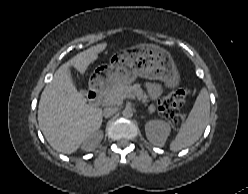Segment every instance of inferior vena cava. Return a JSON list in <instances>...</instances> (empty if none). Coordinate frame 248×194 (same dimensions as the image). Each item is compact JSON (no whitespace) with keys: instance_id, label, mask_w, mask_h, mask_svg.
Instances as JSON below:
<instances>
[{"instance_id":"602c4592","label":"inferior vena cava","mask_w":248,"mask_h":194,"mask_svg":"<svg viewBox=\"0 0 248 194\" xmlns=\"http://www.w3.org/2000/svg\"><path fill=\"white\" fill-rule=\"evenodd\" d=\"M117 112V108L116 107H106L103 110V116L105 118L111 117L113 114H115Z\"/></svg>"}]
</instances>
